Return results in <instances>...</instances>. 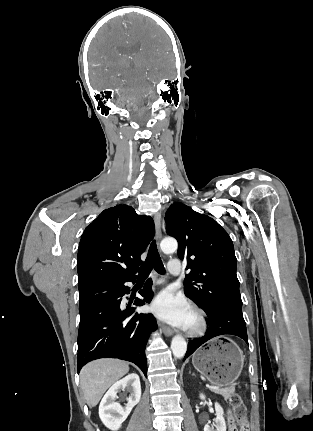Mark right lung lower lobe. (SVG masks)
Wrapping results in <instances>:
<instances>
[{
	"label": "right lung lower lobe",
	"mask_w": 313,
	"mask_h": 431,
	"mask_svg": "<svg viewBox=\"0 0 313 431\" xmlns=\"http://www.w3.org/2000/svg\"><path fill=\"white\" fill-rule=\"evenodd\" d=\"M136 277L94 281L80 285L78 331V372L89 361L99 358H119L135 363L147 375L145 346L150 332L157 329L152 314L135 313L125 306L122 296L130 292L126 282ZM152 280L148 279L136 298V306L150 302Z\"/></svg>",
	"instance_id": "obj_1"
}]
</instances>
